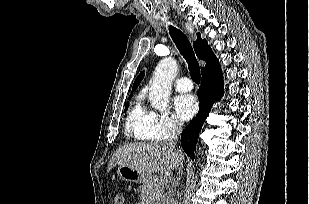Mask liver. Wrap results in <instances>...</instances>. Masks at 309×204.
<instances>
[{
    "instance_id": "6515ba94",
    "label": "liver",
    "mask_w": 309,
    "mask_h": 204,
    "mask_svg": "<svg viewBox=\"0 0 309 204\" xmlns=\"http://www.w3.org/2000/svg\"><path fill=\"white\" fill-rule=\"evenodd\" d=\"M179 157L167 142L130 143L115 152L109 168L126 165L147 174L168 172L177 167Z\"/></svg>"
}]
</instances>
